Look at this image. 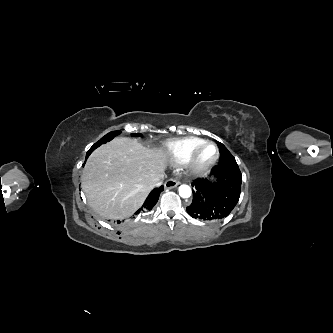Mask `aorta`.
Wrapping results in <instances>:
<instances>
[{"label":"aorta","mask_w":333,"mask_h":333,"mask_svg":"<svg viewBox=\"0 0 333 333\" xmlns=\"http://www.w3.org/2000/svg\"><path fill=\"white\" fill-rule=\"evenodd\" d=\"M191 193V188L188 185L183 184L179 187V194L182 198H189Z\"/></svg>","instance_id":"obj_1"}]
</instances>
